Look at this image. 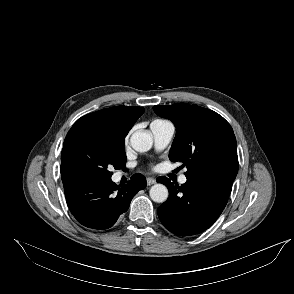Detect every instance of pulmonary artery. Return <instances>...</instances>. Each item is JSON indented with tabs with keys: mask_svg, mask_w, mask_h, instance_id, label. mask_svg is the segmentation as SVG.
<instances>
[{
	"mask_svg": "<svg viewBox=\"0 0 294 294\" xmlns=\"http://www.w3.org/2000/svg\"><path fill=\"white\" fill-rule=\"evenodd\" d=\"M150 130L154 139L155 148L157 150H163L171 142L175 127L171 122L166 121L162 123H152L150 125ZM178 181L180 184L186 183V175H180Z\"/></svg>",
	"mask_w": 294,
	"mask_h": 294,
	"instance_id": "e3ab8cb5",
	"label": "pulmonary artery"
}]
</instances>
